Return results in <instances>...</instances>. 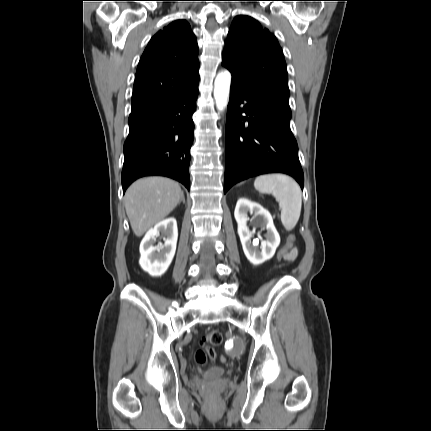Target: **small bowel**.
Listing matches in <instances>:
<instances>
[{"mask_svg": "<svg viewBox=\"0 0 431 431\" xmlns=\"http://www.w3.org/2000/svg\"><path fill=\"white\" fill-rule=\"evenodd\" d=\"M290 247H292V248H287V253L283 254V261L284 262H292L297 257L298 251L295 248V242H290Z\"/></svg>", "mask_w": 431, "mask_h": 431, "instance_id": "small-bowel-1", "label": "small bowel"}]
</instances>
